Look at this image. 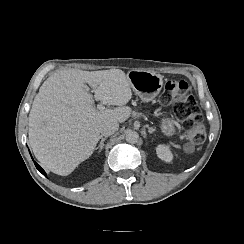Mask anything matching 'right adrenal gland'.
I'll list each match as a JSON object with an SVG mask.
<instances>
[{"label": "right adrenal gland", "mask_w": 244, "mask_h": 244, "mask_svg": "<svg viewBox=\"0 0 244 244\" xmlns=\"http://www.w3.org/2000/svg\"><path fill=\"white\" fill-rule=\"evenodd\" d=\"M100 143L98 145V147H96L95 149H99V152H101V150L103 149L104 147V141L107 139V137H103L102 135L100 136Z\"/></svg>", "instance_id": "1"}]
</instances>
